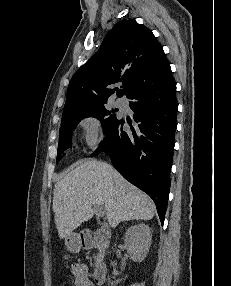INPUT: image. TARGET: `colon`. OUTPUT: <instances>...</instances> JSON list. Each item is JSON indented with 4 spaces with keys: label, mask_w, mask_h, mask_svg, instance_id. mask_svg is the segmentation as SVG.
I'll return each mask as SVG.
<instances>
[{
    "label": "colon",
    "mask_w": 231,
    "mask_h": 286,
    "mask_svg": "<svg viewBox=\"0 0 231 286\" xmlns=\"http://www.w3.org/2000/svg\"><path fill=\"white\" fill-rule=\"evenodd\" d=\"M58 286H68V285L63 283V284H59Z\"/></svg>",
    "instance_id": "obj_1"
}]
</instances>
